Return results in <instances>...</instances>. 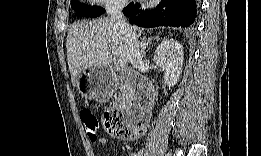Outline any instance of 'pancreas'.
Listing matches in <instances>:
<instances>
[{
  "label": "pancreas",
  "instance_id": "1",
  "mask_svg": "<svg viewBox=\"0 0 261 156\" xmlns=\"http://www.w3.org/2000/svg\"><path fill=\"white\" fill-rule=\"evenodd\" d=\"M131 92L130 89L125 86L122 91V95L119 97V100L123 103H128L130 100Z\"/></svg>",
  "mask_w": 261,
  "mask_h": 156
}]
</instances>
